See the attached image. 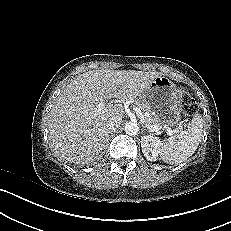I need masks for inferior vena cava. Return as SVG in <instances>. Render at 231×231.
<instances>
[{
    "label": "inferior vena cava",
    "instance_id": "inferior-vena-cava-1",
    "mask_svg": "<svg viewBox=\"0 0 231 231\" xmlns=\"http://www.w3.org/2000/svg\"><path fill=\"white\" fill-rule=\"evenodd\" d=\"M120 123L121 121L118 119L109 120L106 124V128L108 132L110 133V132L115 131L119 127Z\"/></svg>",
    "mask_w": 231,
    "mask_h": 231
}]
</instances>
